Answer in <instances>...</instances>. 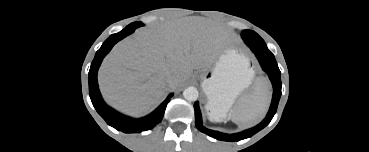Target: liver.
Listing matches in <instances>:
<instances>
[{"label":"liver","mask_w":369,"mask_h":152,"mask_svg":"<svg viewBox=\"0 0 369 152\" xmlns=\"http://www.w3.org/2000/svg\"><path fill=\"white\" fill-rule=\"evenodd\" d=\"M226 39L224 29L208 19H180L139 29L104 59L98 74L101 93L115 109L141 116L169 89L188 80L193 69L211 63ZM169 75L172 84L166 80Z\"/></svg>","instance_id":"6515ba94"}]
</instances>
